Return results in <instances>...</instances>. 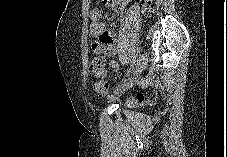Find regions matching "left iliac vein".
I'll return each instance as SVG.
<instances>
[{"mask_svg":"<svg viewBox=\"0 0 227 157\" xmlns=\"http://www.w3.org/2000/svg\"><path fill=\"white\" fill-rule=\"evenodd\" d=\"M147 60H148V57H147V54H145V53L141 54L138 57L137 63H136V68L133 72V75L131 76V78L128 79V81H126V82L120 84L118 87H116V89L113 92L114 95H118L132 86V84L138 77L139 73L142 72L146 68Z\"/></svg>","mask_w":227,"mask_h":157,"instance_id":"left-iliac-vein-1","label":"left iliac vein"}]
</instances>
